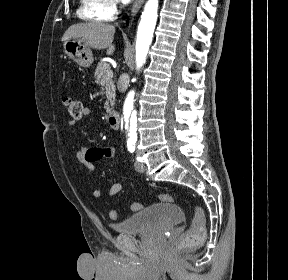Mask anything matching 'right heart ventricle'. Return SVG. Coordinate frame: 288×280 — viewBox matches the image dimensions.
<instances>
[{
	"label": "right heart ventricle",
	"mask_w": 288,
	"mask_h": 280,
	"mask_svg": "<svg viewBox=\"0 0 288 280\" xmlns=\"http://www.w3.org/2000/svg\"><path fill=\"white\" fill-rule=\"evenodd\" d=\"M77 14L85 21H104L103 0H80Z\"/></svg>",
	"instance_id": "obj_1"
}]
</instances>
